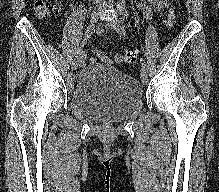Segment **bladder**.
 <instances>
[{
  "label": "bladder",
  "instance_id": "bladder-1",
  "mask_svg": "<svg viewBox=\"0 0 219 192\" xmlns=\"http://www.w3.org/2000/svg\"><path fill=\"white\" fill-rule=\"evenodd\" d=\"M142 85L105 63L84 68L69 94V102L95 122H119L143 104Z\"/></svg>",
  "mask_w": 219,
  "mask_h": 192
}]
</instances>
